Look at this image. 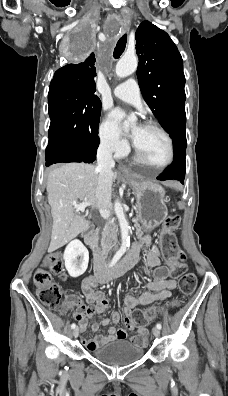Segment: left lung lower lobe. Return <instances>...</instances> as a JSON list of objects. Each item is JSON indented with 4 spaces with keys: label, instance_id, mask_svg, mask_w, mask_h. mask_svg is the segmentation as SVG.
Wrapping results in <instances>:
<instances>
[{
    "label": "left lung lower lobe",
    "instance_id": "0a47b994",
    "mask_svg": "<svg viewBox=\"0 0 228 396\" xmlns=\"http://www.w3.org/2000/svg\"><path fill=\"white\" fill-rule=\"evenodd\" d=\"M186 122H181L174 127V129L169 133L173 139L174 143V160L172 164L157 177L158 180H178L184 184L186 164V133H185Z\"/></svg>",
    "mask_w": 228,
    "mask_h": 396
}]
</instances>
